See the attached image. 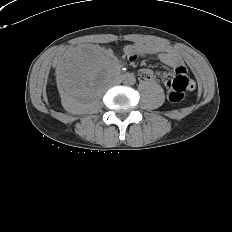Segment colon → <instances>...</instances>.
<instances>
[{
	"instance_id": "obj_1",
	"label": "colon",
	"mask_w": 232,
	"mask_h": 232,
	"mask_svg": "<svg viewBox=\"0 0 232 232\" xmlns=\"http://www.w3.org/2000/svg\"><path fill=\"white\" fill-rule=\"evenodd\" d=\"M164 83L168 88V98L172 102H179L183 99L184 93L190 88L189 78L182 74L167 75Z\"/></svg>"
}]
</instances>
